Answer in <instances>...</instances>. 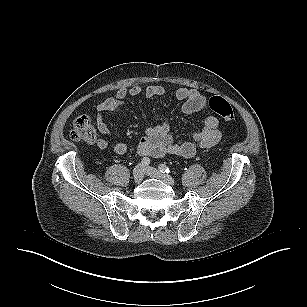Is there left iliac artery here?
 I'll list each match as a JSON object with an SVG mask.
<instances>
[{
    "mask_svg": "<svg viewBox=\"0 0 307 307\" xmlns=\"http://www.w3.org/2000/svg\"><path fill=\"white\" fill-rule=\"evenodd\" d=\"M159 169L162 173L169 174L171 172L170 169L165 164H160Z\"/></svg>",
    "mask_w": 307,
    "mask_h": 307,
    "instance_id": "obj_1",
    "label": "left iliac artery"
}]
</instances>
